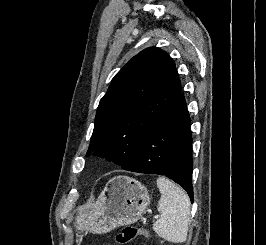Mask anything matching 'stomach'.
<instances>
[{
	"instance_id": "stomach-1",
	"label": "stomach",
	"mask_w": 266,
	"mask_h": 245,
	"mask_svg": "<svg viewBox=\"0 0 266 245\" xmlns=\"http://www.w3.org/2000/svg\"><path fill=\"white\" fill-rule=\"evenodd\" d=\"M150 205V195L139 181L131 177H113L105 185L94 209L80 213L75 219L77 235L83 231L90 233H110L116 227L133 225L142 217Z\"/></svg>"
}]
</instances>
